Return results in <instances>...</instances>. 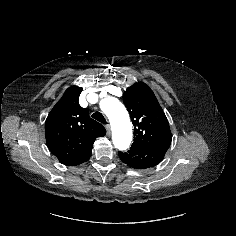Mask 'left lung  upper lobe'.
<instances>
[{"label": "left lung upper lobe", "mask_w": 236, "mask_h": 236, "mask_svg": "<svg viewBox=\"0 0 236 236\" xmlns=\"http://www.w3.org/2000/svg\"><path fill=\"white\" fill-rule=\"evenodd\" d=\"M123 101L134 125L131 147L168 149L172 140L169 123L150 87L134 84L123 93Z\"/></svg>", "instance_id": "1"}]
</instances>
